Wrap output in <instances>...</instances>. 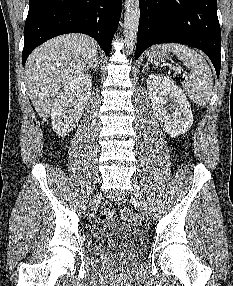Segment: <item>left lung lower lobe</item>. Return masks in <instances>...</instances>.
I'll return each instance as SVG.
<instances>
[{
    "label": "left lung lower lobe",
    "instance_id": "left-lung-lower-lobe-1",
    "mask_svg": "<svg viewBox=\"0 0 233 286\" xmlns=\"http://www.w3.org/2000/svg\"><path fill=\"white\" fill-rule=\"evenodd\" d=\"M135 58L153 44L182 43L202 50L217 76L221 68V30L217 0H139Z\"/></svg>",
    "mask_w": 233,
    "mask_h": 286
}]
</instances>
